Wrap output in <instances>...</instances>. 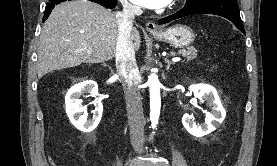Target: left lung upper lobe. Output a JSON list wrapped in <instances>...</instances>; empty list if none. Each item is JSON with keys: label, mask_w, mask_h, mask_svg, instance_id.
I'll return each instance as SVG.
<instances>
[{"label": "left lung upper lobe", "mask_w": 277, "mask_h": 166, "mask_svg": "<svg viewBox=\"0 0 277 166\" xmlns=\"http://www.w3.org/2000/svg\"><path fill=\"white\" fill-rule=\"evenodd\" d=\"M201 0H187L185 6L193 5Z\"/></svg>", "instance_id": "left-lung-upper-lobe-1"}]
</instances>
